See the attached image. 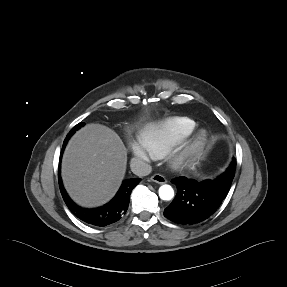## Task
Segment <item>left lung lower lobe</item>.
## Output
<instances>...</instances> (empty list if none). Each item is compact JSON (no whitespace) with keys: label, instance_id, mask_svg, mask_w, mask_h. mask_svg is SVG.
<instances>
[{"label":"left lung lower lobe","instance_id":"left-lung-lower-lobe-1","mask_svg":"<svg viewBox=\"0 0 287 287\" xmlns=\"http://www.w3.org/2000/svg\"><path fill=\"white\" fill-rule=\"evenodd\" d=\"M233 160L225 173L214 180L197 182L184 176L175 178L177 195L165 208L164 216L179 224H195L210 217L227 196L235 173Z\"/></svg>","mask_w":287,"mask_h":287}]
</instances>
